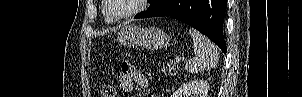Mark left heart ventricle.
Instances as JSON below:
<instances>
[{
	"instance_id": "obj_1",
	"label": "left heart ventricle",
	"mask_w": 302,
	"mask_h": 97,
	"mask_svg": "<svg viewBox=\"0 0 302 97\" xmlns=\"http://www.w3.org/2000/svg\"><path fill=\"white\" fill-rule=\"evenodd\" d=\"M110 10L115 15H123L136 7V0H109Z\"/></svg>"
}]
</instances>
